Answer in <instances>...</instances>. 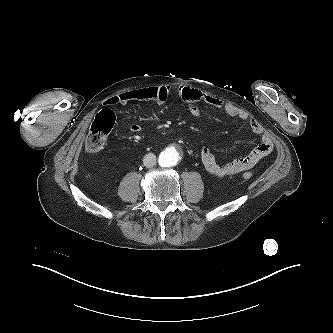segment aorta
Segmentation results:
<instances>
[{
  "label": "aorta",
  "mask_w": 333,
  "mask_h": 333,
  "mask_svg": "<svg viewBox=\"0 0 333 333\" xmlns=\"http://www.w3.org/2000/svg\"><path fill=\"white\" fill-rule=\"evenodd\" d=\"M177 153L171 150H165L159 155V164L162 167H172L177 164Z\"/></svg>",
  "instance_id": "762f6f07"
}]
</instances>
